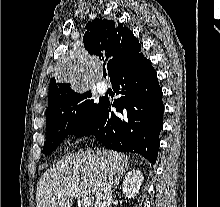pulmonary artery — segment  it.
<instances>
[{
    "instance_id": "obj_1",
    "label": "pulmonary artery",
    "mask_w": 220,
    "mask_h": 207,
    "mask_svg": "<svg viewBox=\"0 0 220 207\" xmlns=\"http://www.w3.org/2000/svg\"><path fill=\"white\" fill-rule=\"evenodd\" d=\"M105 91H106V89H105L104 87H102V86L99 87V92H100V93H104Z\"/></svg>"
}]
</instances>
